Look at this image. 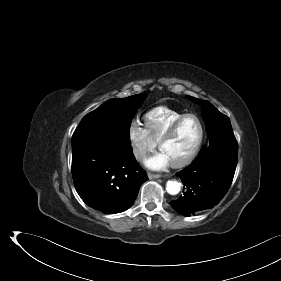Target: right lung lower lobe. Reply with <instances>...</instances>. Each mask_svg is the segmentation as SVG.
Listing matches in <instances>:
<instances>
[{
	"label": "right lung lower lobe",
	"instance_id": "obj_1",
	"mask_svg": "<svg viewBox=\"0 0 281 281\" xmlns=\"http://www.w3.org/2000/svg\"><path fill=\"white\" fill-rule=\"evenodd\" d=\"M72 176L81 199L106 214L120 213L148 180L130 147L89 148L72 153Z\"/></svg>",
	"mask_w": 281,
	"mask_h": 281
}]
</instances>
